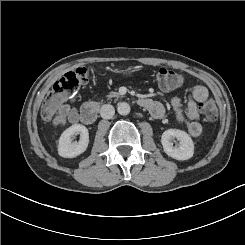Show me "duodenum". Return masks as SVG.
<instances>
[{
	"label": "duodenum",
	"instance_id": "410a0bca",
	"mask_svg": "<svg viewBox=\"0 0 245 245\" xmlns=\"http://www.w3.org/2000/svg\"><path fill=\"white\" fill-rule=\"evenodd\" d=\"M139 104L147 107L150 103L147 99L139 100ZM99 112V104L97 102H88L83 105L80 111V120L85 124H92L96 121Z\"/></svg>",
	"mask_w": 245,
	"mask_h": 245
}]
</instances>
